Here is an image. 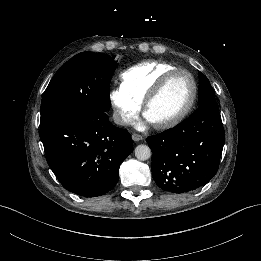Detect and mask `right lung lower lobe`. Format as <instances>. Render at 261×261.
I'll return each instance as SVG.
<instances>
[{
    "label": "right lung lower lobe",
    "mask_w": 261,
    "mask_h": 261,
    "mask_svg": "<svg viewBox=\"0 0 261 261\" xmlns=\"http://www.w3.org/2000/svg\"><path fill=\"white\" fill-rule=\"evenodd\" d=\"M40 138L59 182L81 197L113 189L120 164L133 151L129 132L97 110L47 118L40 123Z\"/></svg>",
    "instance_id": "right-lung-lower-lobe-1"
}]
</instances>
